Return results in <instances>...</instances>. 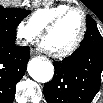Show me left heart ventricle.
I'll return each instance as SVG.
<instances>
[{"label": "left heart ventricle", "instance_id": "obj_1", "mask_svg": "<svg viewBox=\"0 0 103 103\" xmlns=\"http://www.w3.org/2000/svg\"><path fill=\"white\" fill-rule=\"evenodd\" d=\"M82 29V17L78 12L67 15L43 40L52 51H62L74 43Z\"/></svg>", "mask_w": 103, "mask_h": 103}]
</instances>
